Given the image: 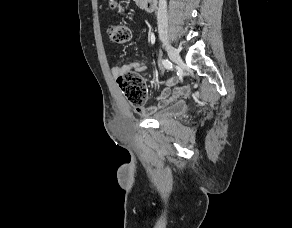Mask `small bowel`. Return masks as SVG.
Here are the masks:
<instances>
[{"label":"small bowel","instance_id":"c3829d8e","mask_svg":"<svg viewBox=\"0 0 292 228\" xmlns=\"http://www.w3.org/2000/svg\"><path fill=\"white\" fill-rule=\"evenodd\" d=\"M147 68L146 63L138 61V62H131V63H124L120 65H115L112 68V74L115 77H119L120 75L133 70L136 73H141L145 71ZM159 84L163 85L164 88L158 97V99L150 105L143 106L137 109V112L140 115H151L154 114L162 109H165L170 104L176 102L181 97L187 96L190 92V87L188 85L178 87L174 89L171 93L170 87L175 85L178 82V76L174 75L171 78H164L160 77L156 80Z\"/></svg>","mask_w":292,"mask_h":228}]
</instances>
